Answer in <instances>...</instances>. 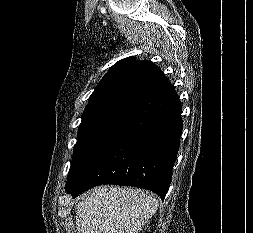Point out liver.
<instances>
[{"label": "liver", "instance_id": "6515ba94", "mask_svg": "<svg viewBox=\"0 0 253 233\" xmlns=\"http://www.w3.org/2000/svg\"><path fill=\"white\" fill-rule=\"evenodd\" d=\"M158 206L140 189L97 187L77 204L76 228L78 233H139Z\"/></svg>", "mask_w": 253, "mask_h": 233}]
</instances>
